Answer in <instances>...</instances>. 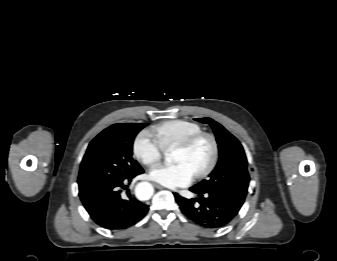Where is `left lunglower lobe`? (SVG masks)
Returning <instances> with one entry per match:
<instances>
[{"mask_svg": "<svg viewBox=\"0 0 337 261\" xmlns=\"http://www.w3.org/2000/svg\"><path fill=\"white\" fill-rule=\"evenodd\" d=\"M190 190L198 194V198L186 199L174 193L176 202L188 219L204 228L224 227L235 218L240 210L227 198L217 193L199 192L194 187Z\"/></svg>", "mask_w": 337, "mask_h": 261, "instance_id": "1", "label": "left lung lower lobe"}]
</instances>
